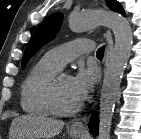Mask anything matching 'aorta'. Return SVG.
<instances>
[{
	"label": "aorta",
	"instance_id": "1",
	"mask_svg": "<svg viewBox=\"0 0 141 139\" xmlns=\"http://www.w3.org/2000/svg\"><path fill=\"white\" fill-rule=\"evenodd\" d=\"M68 23L69 28L76 33L87 31L100 24H105L114 33L115 44L101 90L97 137L98 139H110L111 123L121 79L131 56L133 36L130 23L122 15L110 11L70 14Z\"/></svg>",
	"mask_w": 141,
	"mask_h": 139
}]
</instances>
